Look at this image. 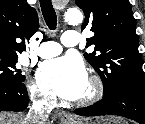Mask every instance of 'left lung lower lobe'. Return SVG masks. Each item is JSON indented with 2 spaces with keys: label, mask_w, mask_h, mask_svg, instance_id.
<instances>
[{
  "label": "left lung lower lobe",
  "mask_w": 145,
  "mask_h": 124,
  "mask_svg": "<svg viewBox=\"0 0 145 124\" xmlns=\"http://www.w3.org/2000/svg\"><path fill=\"white\" fill-rule=\"evenodd\" d=\"M75 113L81 116L118 115L145 124V91L123 87Z\"/></svg>",
  "instance_id": "1"
}]
</instances>
